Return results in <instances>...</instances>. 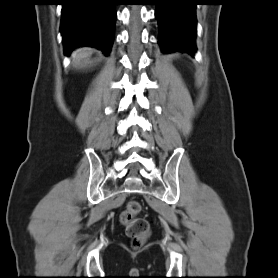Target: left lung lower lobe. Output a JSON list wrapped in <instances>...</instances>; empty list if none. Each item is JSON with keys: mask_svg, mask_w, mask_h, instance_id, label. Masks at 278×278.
Listing matches in <instances>:
<instances>
[{"mask_svg": "<svg viewBox=\"0 0 278 278\" xmlns=\"http://www.w3.org/2000/svg\"><path fill=\"white\" fill-rule=\"evenodd\" d=\"M197 0H155L159 43L164 52H196Z\"/></svg>", "mask_w": 278, "mask_h": 278, "instance_id": "1", "label": "left lung lower lobe"}]
</instances>
